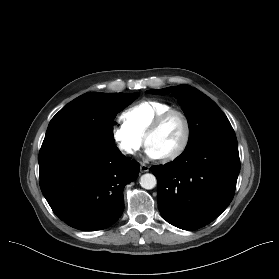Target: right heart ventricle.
<instances>
[{"label": "right heart ventricle", "mask_w": 279, "mask_h": 279, "mask_svg": "<svg viewBox=\"0 0 279 279\" xmlns=\"http://www.w3.org/2000/svg\"><path fill=\"white\" fill-rule=\"evenodd\" d=\"M171 108L172 106L165 101L144 99L127 108L122 113V119L134 132L144 137L146 130L155 118Z\"/></svg>", "instance_id": "right-heart-ventricle-1"}]
</instances>
